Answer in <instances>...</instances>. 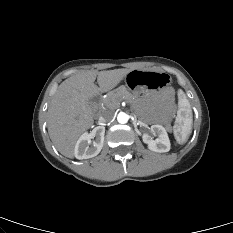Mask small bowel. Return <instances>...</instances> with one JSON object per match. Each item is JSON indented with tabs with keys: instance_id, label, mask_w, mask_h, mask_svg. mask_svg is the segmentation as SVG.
Segmentation results:
<instances>
[{
	"instance_id": "1",
	"label": "small bowel",
	"mask_w": 233,
	"mask_h": 233,
	"mask_svg": "<svg viewBox=\"0 0 233 233\" xmlns=\"http://www.w3.org/2000/svg\"><path fill=\"white\" fill-rule=\"evenodd\" d=\"M155 104L160 116L163 118H169L174 112V97L172 91H165L156 99Z\"/></svg>"
}]
</instances>
